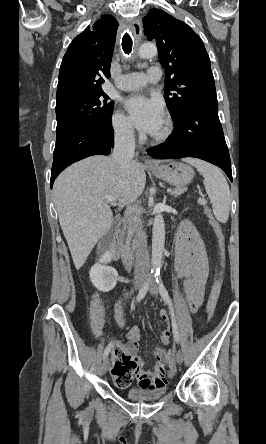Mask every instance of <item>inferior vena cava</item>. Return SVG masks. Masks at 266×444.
<instances>
[{
  "label": "inferior vena cava",
  "instance_id": "1",
  "mask_svg": "<svg viewBox=\"0 0 266 444\" xmlns=\"http://www.w3.org/2000/svg\"><path fill=\"white\" fill-rule=\"evenodd\" d=\"M134 154V129L131 126H127L115 135L113 159L120 164L122 170H127L130 166V163L132 162ZM125 215L129 221V224L135 232V269L139 271H147L149 268V259L145 255L147 241L145 233L143 231L142 222L137 213V210L130 205L128 206Z\"/></svg>",
  "mask_w": 266,
  "mask_h": 444
}]
</instances>
